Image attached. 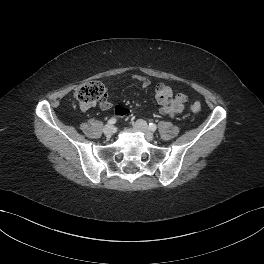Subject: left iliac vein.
Wrapping results in <instances>:
<instances>
[{
  "label": "left iliac vein",
  "instance_id": "4c4485c4",
  "mask_svg": "<svg viewBox=\"0 0 264 264\" xmlns=\"http://www.w3.org/2000/svg\"><path fill=\"white\" fill-rule=\"evenodd\" d=\"M134 127L142 132L145 136V138L148 140V141H153L154 140V135L153 133L151 132V130L149 129L147 123L144 121V120H137L135 123H134Z\"/></svg>",
  "mask_w": 264,
  "mask_h": 264
}]
</instances>
